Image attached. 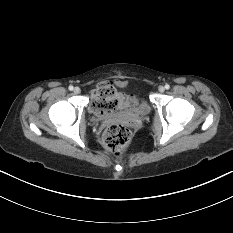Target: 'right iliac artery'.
<instances>
[{
  "label": "right iliac artery",
  "instance_id": "1",
  "mask_svg": "<svg viewBox=\"0 0 233 233\" xmlns=\"http://www.w3.org/2000/svg\"><path fill=\"white\" fill-rule=\"evenodd\" d=\"M70 91H72L74 89V87L72 85L69 86L68 88Z\"/></svg>",
  "mask_w": 233,
  "mask_h": 233
}]
</instances>
